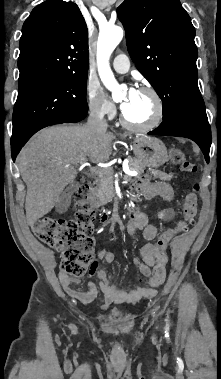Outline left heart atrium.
<instances>
[{"label":"left heart atrium","instance_id":"1","mask_svg":"<svg viewBox=\"0 0 221 379\" xmlns=\"http://www.w3.org/2000/svg\"><path fill=\"white\" fill-rule=\"evenodd\" d=\"M138 91L134 88H130L127 95H126V98L124 101H122L121 103V108L122 110H126L129 105L131 104V102L136 98V96L138 95Z\"/></svg>","mask_w":221,"mask_h":379}]
</instances>
